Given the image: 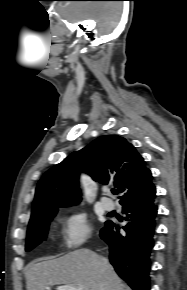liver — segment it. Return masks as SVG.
<instances>
[{
  "instance_id": "liver-1",
  "label": "liver",
  "mask_w": 187,
  "mask_h": 290,
  "mask_svg": "<svg viewBox=\"0 0 187 290\" xmlns=\"http://www.w3.org/2000/svg\"><path fill=\"white\" fill-rule=\"evenodd\" d=\"M25 276L27 290H45L54 285H70L80 290H130L114 268L89 249L31 263Z\"/></svg>"
}]
</instances>
